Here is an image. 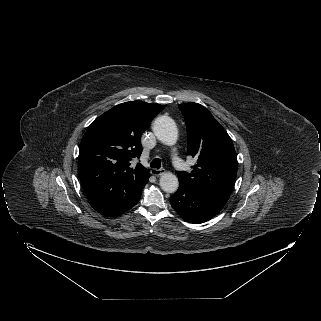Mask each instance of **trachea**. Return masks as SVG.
<instances>
[{
    "label": "trachea",
    "instance_id": "1",
    "mask_svg": "<svg viewBox=\"0 0 321 321\" xmlns=\"http://www.w3.org/2000/svg\"><path fill=\"white\" fill-rule=\"evenodd\" d=\"M150 166L152 168H157V169L161 168V160L159 158L153 159L152 162L150 163Z\"/></svg>",
    "mask_w": 321,
    "mask_h": 321
}]
</instances>
